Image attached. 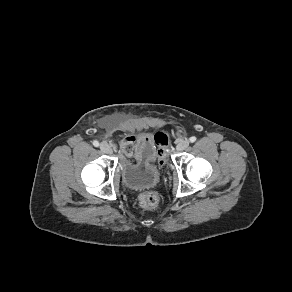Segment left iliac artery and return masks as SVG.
Instances as JSON below:
<instances>
[{
    "label": "left iliac artery",
    "instance_id": "obj_1",
    "mask_svg": "<svg viewBox=\"0 0 292 292\" xmlns=\"http://www.w3.org/2000/svg\"><path fill=\"white\" fill-rule=\"evenodd\" d=\"M189 140H190L191 143H193V142L196 141V137L195 136H192V137L189 138Z\"/></svg>",
    "mask_w": 292,
    "mask_h": 292
}]
</instances>
